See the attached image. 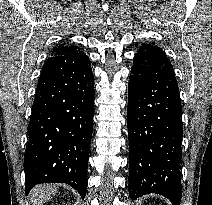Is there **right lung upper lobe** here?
I'll return each instance as SVG.
<instances>
[{
  "label": "right lung upper lobe",
  "instance_id": "cb5924a9",
  "mask_svg": "<svg viewBox=\"0 0 212 205\" xmlns=\"http://www.w3.org/2000/svg\"><path fill=\"white\" fill-rule=\"evenodd\" d=\"M73 53H84V52L81 51V49L76 45H67L66 43H62L53 48V51L51 52L50 57L58 56V55L73 54Z\"/></svg>",
  "mask_w": 212,
  "mask_h": 205
}]
</instances>
